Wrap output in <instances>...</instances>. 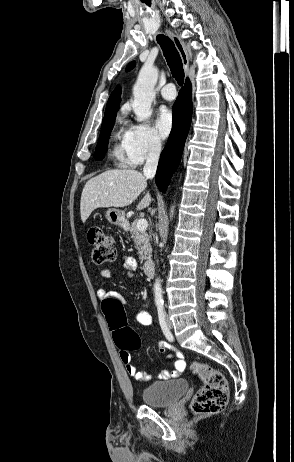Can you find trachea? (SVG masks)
<instances>
[{
  "instance_id": "3493384b",
  "label": "trachea",
  "mask_w": 294,
  "mask_h": 462,
  "mask_svg": "<svg viewBox=\"0 0 294 462\" xmlns=\"http://www.w3.org/2000/svg\"><path fill=\"white\" fill-rule=\"evenodd\" d=\"M157 41L161 46L171 74L176 79L177 83L182 86L184 83V70L181 57L173 41L165 35H158Z\"/></svg>"
}]
</instances>
